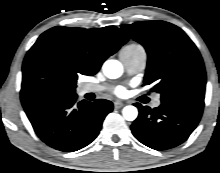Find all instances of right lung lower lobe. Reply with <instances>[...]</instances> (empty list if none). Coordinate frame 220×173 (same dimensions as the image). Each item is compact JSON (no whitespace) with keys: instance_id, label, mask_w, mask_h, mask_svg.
I'll return each instance as SVG.
<instances>
[{"instance_id":"98d812e1","label":"right lung lower lobe","mask_w":220,"mask_h":173,"mask_svg":"<svg viewBox=\"0 0 220 173\" xmlns=\"http://www.w3.org/2000/svg\"><path fill=\"white\" fill-rule=\"evenodd\" d=\"M24 110L44 143L60 151L73 152L98 136L113 104L104 99L78 102L73 93L38 99L24 106Z\"/></svg>"}]
</instances>
